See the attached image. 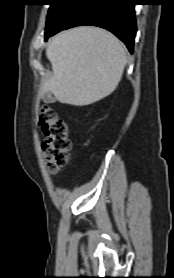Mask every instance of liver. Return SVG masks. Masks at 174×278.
I'll list each match as a JSON object with an SVG mask.
<instances>
[{"label": "liver", "instance_id": "6515ba94", "mask_svg": "<svg viewBox=\"0 0 174 278\" xmlns=\"http://www.w3.org/2000/svg\"><path fill=\"white\" fill-rule=\"evenodd\" d=\"M46 56L53 75L40 93L51 92L60 103L93 104L118 86L127 63L125 48L112 33L98 27H77L54 36Z\"/></svg>", "mask_w": 174, "mask_h": 278}]
</instances>
